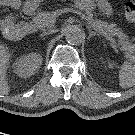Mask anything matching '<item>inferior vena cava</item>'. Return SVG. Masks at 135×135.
Listing matches in <instances>:
<instances>
[{"instance_id":"602c4592","label":"inferior vena cava","mask_w":135,"mask_h":135,"mask_svg":"<svg viewBox=\"0 0 135 135\" xmlns=\"http://www.w3.org/2000/svg\"><path fill=\"white\" fill-rule=\"evenodd\" d=\"M53 32H55V30L45 31V32H43V33L41 34V36H45V35L51 34V33H53Z\"/></svg>"}]
</instances>
